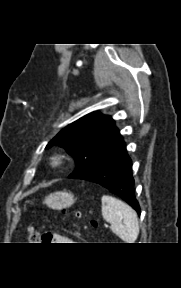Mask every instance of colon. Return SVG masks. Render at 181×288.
<instances>
[{
	"instance_id": "obj_1",
	"label": "colon",
	"mask_w": 181,
	"mask_h": 288,
	"mask_svg": "<svg viewBox=\"0 0 181 288\" xmlns=\"http://www.w3.org/2000/svg\"><path fill=\"white\" fill-rule=\"evenodd\" d=\"M76 219H81V214L79 212L75 213ZM92 227L97 226V222L92 220L90 221ZM51 233H42L38 228L30 226L28 228V241L30 244L41 243V242H51Z\"/></svg>"
}]
</instances>
